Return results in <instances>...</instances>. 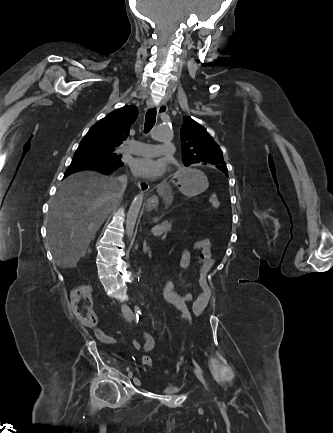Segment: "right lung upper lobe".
Here are the masks:
<instances>
[{
	"mask_svg": "<svg viewBox=\"0 0 333 433\" xmlns=\"http://www.w3.org/2000/svg\"><path fill=\"white\" fill-rule=\"evenodd\" d=\"M138 116L136 106H124L107 114L94 124L83 141L106 149H117L129 135L130 126Z\"/></svg>",
	"mask_w": 333,
	"mask_h": 433,
	"instance_id": "right-lung-upper-lobe-1",
	"label": "right lung upper lobe"
}]
</instances>
